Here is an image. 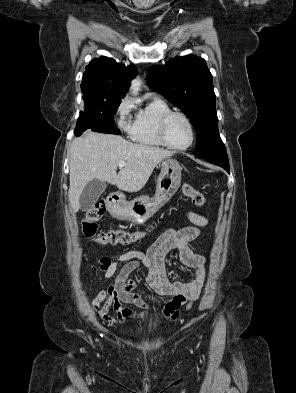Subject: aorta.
<instances>
[{
    "mask_svg": "<svg viewBox=\"0 0 296 393\" xmlns=\"http://www.w3.org/2000/svg\"><path fill=\"white\" fill-rule=\"evenodd\" d=\"M140 86H141V81L138 78H136L132 81L131 90H132L133 94L136 95L138 93Z\"/></svg>",
    "mask_w": 296,
    "mask_h": 393,
    "instance_id": "obj_1",
    "label": "aorta"
}]
</instances>
